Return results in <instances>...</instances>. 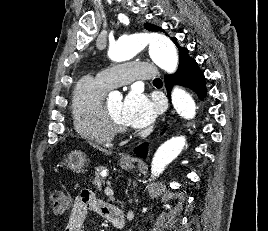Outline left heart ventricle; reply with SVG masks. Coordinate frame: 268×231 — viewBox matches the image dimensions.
Instances as JSON below:
<instances>
[{"instance_id":"b2bd125f","label":"left heart ventricle","mask_w":268,"mask_h":231,"mask_svg":"<svg viewBox=\"0 0 268 231\" xmlns=\"http://www.w3.org/2000/svg\"><path fill=\"white\" fill-rule=\"evenodd\" d=\"M107 106L111 110L112 114L123 124L127 125L123 116V101L121 99L110 101Z\"/></svg>"}]
</instances>
